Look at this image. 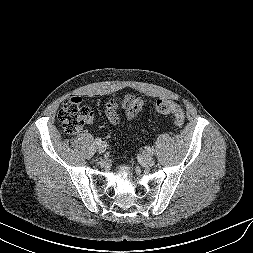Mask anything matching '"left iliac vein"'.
Here are the masks:
<instances>
[{
	"label": "left iliac vein",
	"instance_id": "left-iliac-vein-1",
	"mask_svg": "<svg viewBox=\"0 0 253 253\" xmlns=\"http://www.w3.org/2000/svg\"><path fill=\"white\" fill-rule=\"evenodd\" d=\"M143 158L144 160L148 163V164H152L153 163V154L152 152L148 151V150H145L143 152Z\"/></svg>",
	"mask_w": 253,
	"mask_h": 253
}]
</instances>
